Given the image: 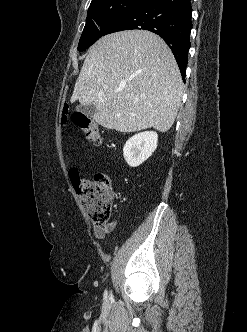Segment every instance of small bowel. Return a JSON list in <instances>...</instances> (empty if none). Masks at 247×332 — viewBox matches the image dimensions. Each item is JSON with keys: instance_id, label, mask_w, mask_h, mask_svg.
<instances>
[{"instance_id": "small-bowel-1", "label": "small bowel", "mask_w": 247, "mask_h": 332, "mask_svg": "<svg viewBox=\"0 0 247 332\" xmlns=\"http://www.w3.org/2000/svg\"><path fill=\"white\" fill-rule=\"evenodd\" d=\"M114 228V224L110 223L104 226H96L94 228V233L96 237L103 238L107 233H109Z\"/></svg>"}]
</instances>
